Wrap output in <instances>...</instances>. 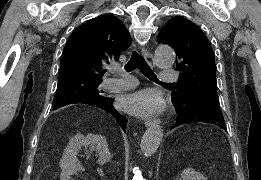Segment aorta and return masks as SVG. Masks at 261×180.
<instances>
[{"label":"aorta","instance_id":"aorta-1","mask_svg":"<svg viewBox=\"0 0 261 180\" xmlns=\"http://www.w3.org/2000/svg\"><path fill=\"white\" fill-rule=\"evenodd\" d=\"M175 61V53L173 49L167 45H160L157 47L154 54V63L158 68L166 69L171 67ZM163 138V129L159 125L149 127L141 139V151L149 157L153 155Z\"/></svg>","mask_w":261,"mask_h":180}]
</instances>
